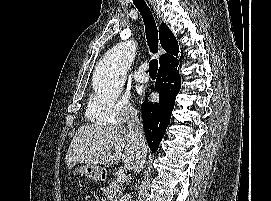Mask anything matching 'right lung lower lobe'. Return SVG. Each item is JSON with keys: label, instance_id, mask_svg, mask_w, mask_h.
Masks as SVG:
<instances>
[{"label": "right lung lower lobe", "instance_id": "1", "mask_svg": "<svg viewBox=\"0 0 271 201\" xmlns=\"http://www.w3.org/2000/svg\"><path fill=\"white\" fill-rule=\"evenodd\" d=\"M178 59L160 66L155 83L159 93L158 103L145 101L142 104V118L148 145L155 152L170 122L175 98L180 91L181 78Z\"/></svg>", "mask_w": 271, "mask_h": 201}]
</instances>
